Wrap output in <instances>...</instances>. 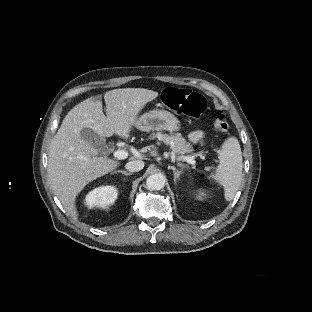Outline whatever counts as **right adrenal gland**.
I'll return each instance as SVG.
<instances>
[{"instance_id": "1", "label": "right adrenal gland", "mask_w": 312, "mask_h": 312, "mask_svg": "<svg viewBox=\"0 0 312 312\" xmlns=\"http://www.w3.org/2000/svg\"><path fill=\"white\" fill-rule=\"evenodd\" d=\"M116 173H120L124 176H129L131 173H126L125 171H117Z\"/></svg>"}]
</instances>
